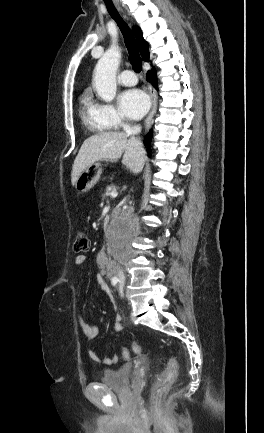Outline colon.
I'll list each match as a JSON object with an SVG mask.
<instances>
[{"mask_svg": "<svg viewBox=\"0 0 264 433\" xmlns=\"http://www.w3.org/2000/svg\"><path fill=\"white\" fill-rule=\"evenodd\" d=\"M74 251L77 253H85L90 248V241L85 232H78L74 241ZM131 349L134 353H141V345L138 342H133L131 344ZM122 357L128 360L130 357V351L128 348L122 350ZM178 374V364L174 356H170L167 360L164 371L161 374V383L163 385L172 384Z\"/></svg>", "mask_w": 264, "mask_h": 433, "instance_id": "5ec220e1", "label": "colon"}]
</instances>
